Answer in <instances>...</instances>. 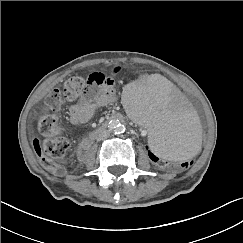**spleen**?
Returning <instances> with one entry per match:
<instances>
[{
  "label": "spleen",
  "instance_id": "obj_1",
  "mask_svg": "<svg viewBox=\"0 0 243 243\" xmlns=\"http://www.w3.org/2000/svg\"><path fill=\"white\" fill-rule=\"evenodd\" d=\"M123 105L132 119L147 124L146 144L159 158L185 162L198 152L195 114L170 80L155 74L136 77L124 90Z\"/></svg>",
  "mask_w": 243,
  "mask_h": 243
}]
</instances>
